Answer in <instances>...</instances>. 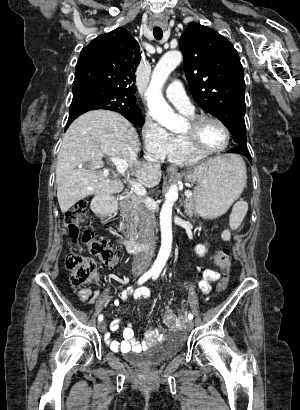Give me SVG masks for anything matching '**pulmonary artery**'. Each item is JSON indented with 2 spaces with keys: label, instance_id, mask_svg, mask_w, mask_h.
Segmentation results:
<instances>
[{
  "label": "pulmonary artery",
  "instance_id": "1",
  "mask_svg": "<svg viewBox=\"0 0 300 410\" xmlns=\"http://www.w3.org/2000/svg\"><path fill=\"white\" fill-rule=\"evenodd\" d=\"M165 95L168 101L172 103L180 111L186 114L193 113L194 107L191 104L185 91L183 90V87L180 81L175 80L171 82L165 91Z\"/></svg>",
  "mask_w": 300,
  "mask_h": 410
}]
</instances>
